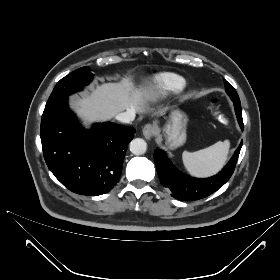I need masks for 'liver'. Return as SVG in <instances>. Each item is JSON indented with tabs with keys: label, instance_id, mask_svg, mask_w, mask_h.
Returning <instances> with one entry per match:
<instances>
[{
	"label": "liver",
	"instance_id": "6515ba94",
	"mask_svg": "<svg viewBox=\"0 0 280 280\" xmlns=\"http://www.w3.org/2000/svg\"><path fill=\"white\" fill-rule=\"evenodd\" d=\"M149 92L135 88L129 79L120 83L97 86L89 96L73 101L75 112L89 125L94 121H106L124 110L145 111Z\"/></svg>",
	"mask_w": 280,
	"mask_h": 280
}]
</instances>
